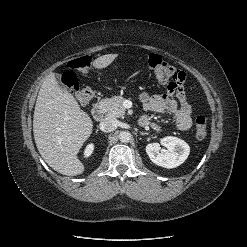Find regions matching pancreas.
Returning <instances> with one entry per match:
<instances>
[{"label": "pancreas", "instance_id": "1", "mask_svg": "<svg viewBox=\"0 0 247 247\" xmlns=\"http://www.w3.org/2000/svg\"><path fill=\"white\" fill-rule=\"evenodd\" d=\"M124 98L122 96H114L112 98H105L99 102V105L111 117H123L125 115V108L123 106Z\"/></svg>", "mask_w": 247, "mask_h": 247}]
</instances>
